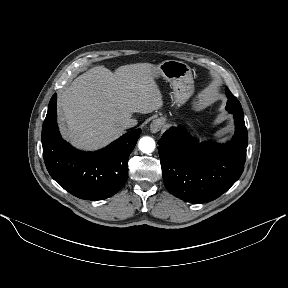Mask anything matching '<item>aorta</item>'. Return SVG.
<instances>
[{
	"mask_svg": "<svg viewBox=\"0 0 288 288\" xmlns=\"http://www.w3.org/2000/svg\"><path fill=\"white\" fill-rule=\"evenodd\" d=\"M138 147L141 152L149 154L155 149V141L151 137H142L139 140Z\"/></svg>",
	"mask_w": 288,
	"mask_h": 288,
	"instance_id": "762f6f07",
	"label": "aorta"
}]
</instances>
